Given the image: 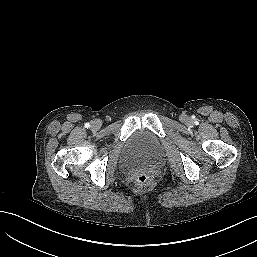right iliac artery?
<instances>
[{
	"mask_svg": "<svg viewBox=\"0 0 257 257\" xmlns=\"http://www.w3.org/2000/svg\"><path fill=\"white\" fill-rule=\"evenodd\" d=\"M89 127H90V124H89V123H86V124H85V128L88 129Z\"/></svg>",
	"mask_w": 257,
	"mask_h": 257,
	"instance_id": "82829eb1",
	"label": "right iliac artery"
}]
</instances>
